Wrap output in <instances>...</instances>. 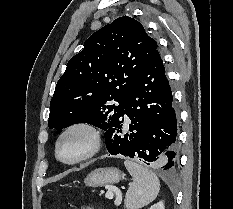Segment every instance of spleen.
<instances>
[{
  "label": "spleen",
  "instance_id": "obj_1",
  "mask_svg": "<svg viewBox=\"0 0 233 209\" xmlns=\"http://www.w3.org/2000/svg\"><path fill=\"white\" fill-rule=\"evenodd\" d=\"M124 165L133 177V182L125 196V207L140 209L154 201L160 190V182L156 174L133 160H125Z\"/></svg>",
  "mask_w": 233,
  "mask_h": 209
}]
</instances>
